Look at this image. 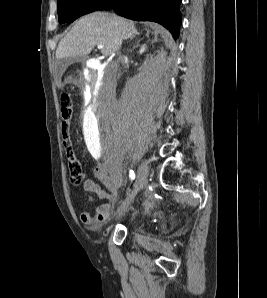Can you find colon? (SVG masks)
<instances>
[{"label": "colon", "instance_id": "obj_1", "mask_svg": "<svg viewBox=\"0 0 267 298\" xmlns=\"http://www.w3.org/2000/svg\"><path fill=\"white\" fill-rule=\"evenodd\" d=\"M61 110H62V116L64 120L69 119L72 112V108H71V101L67 94H63L62 96ZM62 136H63V146L65 149L67 161H68L70 181L74 185H80L85 178V173L81 162L77 159V157L74 154L72 144L69 139L65 125L62 130Z\"/></svg>", "mask_w": 267, "mask_h": 298}]
</instances>
